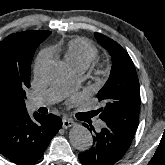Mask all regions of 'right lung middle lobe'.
<instances>
[{"label": "right lung middle lobe", "mask_w": 165, "mask_h": 165, "mask_svg": "<svg viewBox=\"0 0 165 165\" xmlns=\"http://www.w3.org/2000/svg\"><path fill=\"white\" fill-rule=\"evenodd\" d=\"M36 49V48H35ZM35 51V50H34ZM0 87L10 91L22 99L26 98L25 89L30 87V84H24L21 77L16 73L0 70Z\"/></svg>", "instance_id": "1"}]
</instances>
